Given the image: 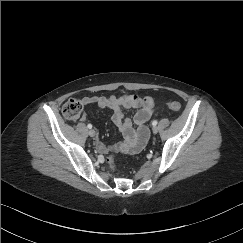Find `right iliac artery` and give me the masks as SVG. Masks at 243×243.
<instances>
[{
	"instance_id": "right-iliac-artery-1",
	"label": "right iliac artery",
	"mask_w": 243,
	"mask_h": 243,
	"mask_svg": "<svg viewBox=\"0 0 243 243\" xmlns=\"http://www.w3.org/2000/svg\"><path fill=\"white\" fill-rule=\"evenodd\" d=\"M87 127H88L89 129H91V128H92V125H91V124H88Z\"/></svg>"
}]
</instances>
